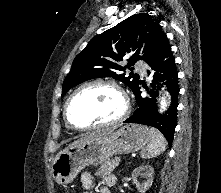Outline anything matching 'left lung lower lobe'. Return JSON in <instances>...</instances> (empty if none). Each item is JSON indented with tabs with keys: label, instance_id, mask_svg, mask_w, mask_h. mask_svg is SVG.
Here are the masks:
<instances>
[{
	"label": "left lung lower lobe",
	"instance_id": "0a47b994",
	"mask_svg": "<svg viewBox=\"0 0 221 193\" xmlns=\"http://www.w3.org/2000/svg\"><path fill=\"white\" fill-rule=\"evenodd\" d=\"M146 63L151 68L148 74L154 78L151 83L152 89H147L149 96L142 97L140 91L141 82H139L137 88L133 91L137 99V109L125 122L157 128L163 133L169 146H171L177 124V106L180 89L175 58L168 40ZM160 86H165L171 96L170 107L163 115L158 114V107L156 105V97L158 96Z\"/></svg>",
	"mask_w": 221,
	"mask_h": 193
}]
</instances>
